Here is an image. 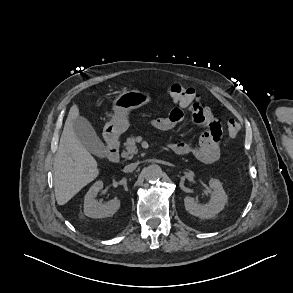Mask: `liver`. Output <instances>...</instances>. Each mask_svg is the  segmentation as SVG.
I'll list each match as a JSON object with an SVG mask.
<instances>
[{"mask_svg":"<svg viewBox=\"0 0 293 293\" xmlns=\"http://www.w3.org/2000/svg\"><path fill=\"white\" fill-rule=\"evenodd\" d=\"M77 117L79 108L73 105L53 162L55 196L59 205L66 204L100 173L97 161L74 133L72 120Z\"/></svg>","mask_w":293,"mask_h":293,"instance_id":"obj_1","label":"liver"}]
</instances>
